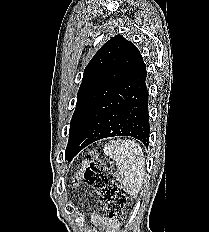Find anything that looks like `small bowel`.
I'll use <instances>...</instances> for the list:
<instances>
[{
	"label": "small bowel",
	"instance_id": "obj_1",
	"mask_svg": "<svg viewBox=\"0 0 209 232\" xmlns=\"http://www.w3.org/2000/svg\"><path fill=\"white\" fill-rule=\"evenodd\" d=\"M92 219L95 223L105 226L107 228V232H115L117 223L113 220L103 217L99 214H94Z\"/></svg>",
	"mask_w": 209,
	"mask_h": 232
}]
</instances>
